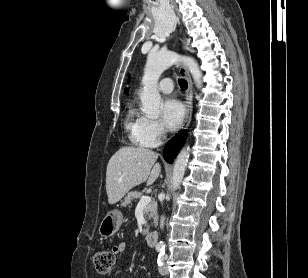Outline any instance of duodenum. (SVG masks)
Returning <instances> with one entry per match:
<instances>
[{
  "label": "duodenum",
  "instance_id": "410a0bca",
  "mask_svg": "<svg viewBox=\"0 0 308 278\" xmlns=\"http://www.w3.org/2000/svg\"><path fill=\"white\" fill-rule=\"evenodd\" d=\"M157 240H158V232L157 231H151L146 236L147 244L151 247L156 245Z\"/></svg>",
  "mask_w": 308,
  "mask_h": 278
}]
</instances>
